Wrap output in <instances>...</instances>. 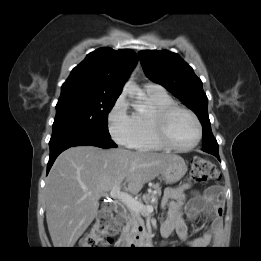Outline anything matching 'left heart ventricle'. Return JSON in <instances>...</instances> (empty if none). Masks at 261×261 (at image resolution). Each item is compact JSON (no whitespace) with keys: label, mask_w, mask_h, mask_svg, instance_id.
<instances>
[{"label":"left heart ventricle","mask_w":261,"mask_h":261,"mask_svg":"<svg viewBox=\"0 0 261 261\" xmlns=\"http://www.w3.org/2000/svg\"><path fill=\"white\" fill-rule=\"evenodd\" d=\"M167 132L174 144L188 146L194 142L197 135V128L190 115L183 111H176L168 120Z\"/></svg>","instance_id":"obj_1"}]
</instances>
